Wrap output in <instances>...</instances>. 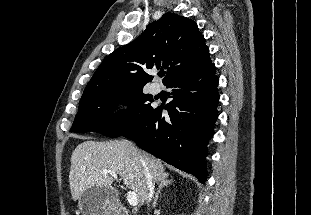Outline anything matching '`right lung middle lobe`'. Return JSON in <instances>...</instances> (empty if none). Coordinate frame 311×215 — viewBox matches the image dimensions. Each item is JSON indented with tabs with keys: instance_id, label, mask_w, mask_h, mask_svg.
I'll return each instance as SVG.
<instances>
[{
	"instance_id": "obj_1",
	"label": "right lung middle lobe",
	"mask_w": 311,
	"mask_h": 215,
	"mask_svg": "<svg viewBox=\"0 0 311 215\" xmlns=\"http://www.w3.org/2000/svg\"><path fill=\"white\" fill-rule=\"evenodd\" d=\"M152 97L142 90L119 94H105L79 102L72 132H99L108 137H119L153 109ZM121 105L127 109L118 110ZM117 111V112H116Z\"/></svg>"
}]
</instances>
